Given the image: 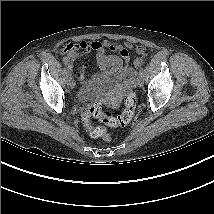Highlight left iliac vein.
<instances>
[{"label":"left iliac vein","instance_id":"obj_1","mask_svg":"<svg viewBox=\"0 0 214 214\" xmlns=\"http://www.w3.org/2000/svg\"><path fill=\"white\" fill-rule=\"evenodd\" d=\"M136 82H137L138 85L141 86V84H142V79H141V77L138 76V77L136 78Z\"/></svg>","mask_w":214,"mask_h":214}]
</instances>
